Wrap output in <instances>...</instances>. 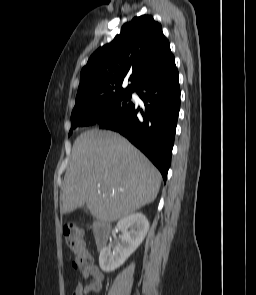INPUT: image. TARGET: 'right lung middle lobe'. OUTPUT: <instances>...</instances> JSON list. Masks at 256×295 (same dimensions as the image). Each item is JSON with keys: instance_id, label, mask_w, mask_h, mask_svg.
Segmentation results:
<instances>
[{"instance_id": "dd1d6c3e", "label": "right lung middle lobe", "mask_w": 256, "mask_h": 295, "mask_svg": "<svg viewBox=\"0 0 256 295\" xmlns=\"http://www.w3.org/2000/svg\"><path fill=\"white\" fill-rule=\"evenodd\" d=\"M132 92L99 99L77 100L71 114V135L76 128L87 127L103 116V119L120 115L133 104Z\"/></svg>"}]
</instances>
